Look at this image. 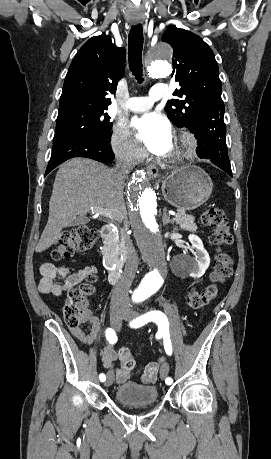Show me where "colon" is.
Listing matches in <instances>:
<instances>
[{
    "label": "colon",
    "mask_w": 271,
    "mask_h": 459,
    "mask_svg": "<svg viewBox=\"0 0 271 459\" xmlns=\"http://www.w3.org/2000/svg\"><path fill=\"white\" fill-rule=\"evenodd\" d=\"M200 221L211 229L210 242L216 249V255L210 274L213 283L202 290L193 289L187 295L188 305L194 309L213 301L218 293L215 283H223L233 272V259L227 251L233 236L225 212L220 208H209L203 212ZM97 236L96 229L84 225L66 231L57 240L51 256L54 260H62L76 252L87 253L93 248ZM93 281L94 276H88L86 282L69 290L64 308V319L69 327L79 326L89 316L87 298L93 292ZM119 358L124 370L134 371L136 363L127 347L119 350Z\"/></svg>",
    "instance_id": "colon-1"
}]
</instances>
